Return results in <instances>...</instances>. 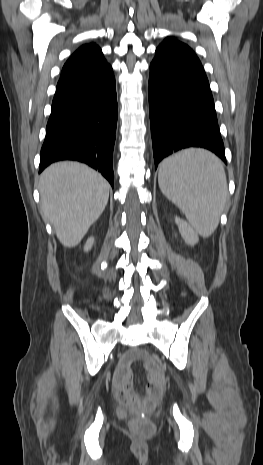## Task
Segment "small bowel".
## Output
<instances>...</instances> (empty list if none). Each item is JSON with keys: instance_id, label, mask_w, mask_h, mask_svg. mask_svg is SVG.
<instances>
[{"instance_id": "1", "label": "small bowel", "mask_w": 263, "mask_h": 465, "mask_svg": "<svg viewBox=\"0 0 263 465\" xmlns=\"http://www.w3.org/2000/svg\"><path fill=\"white\" fill-rule=\"evenodd\" d=\"M138 357V353L136 352H129L127 353L119 362V365L115 371L114 379H113V386L114 392L117 398L124 402L130 403L132 400L138 398L139 396L133 394L131 392V369L130 364L136 360ZM150 384H158L162 385V378L156 371H151L149 374Z\"/></svg>"}]
</instances>
